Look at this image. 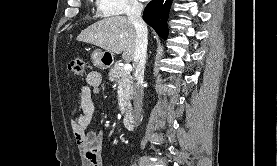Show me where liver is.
I'll return each instance as SVG.
<instances>
[{
	"label": "liver",
	"mask_w": 277,
	"mask_h": 166,
	"mask_svg": "<svg viewBox=\"0 0 277 166\" xmlns=\"http://www.w3.org/2000/svg\"><path fill=\"white\" fill-rule=\"evenodd\" d=\"M78 41L98 46L112 54L132 61L136 46V29L125 16L104 18L83 30Z\"/></svg>",
	"instance_id": "6515ba94"
}]
</instances>
